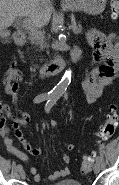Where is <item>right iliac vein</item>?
<instances>
[{"label":"right iliac vein","mask_w":119,"mask_h":185,"mask_svg":"<svg viewBox=\"0 0 119 185\" xmlns=\"http://www.w3.org/2000/svg\"><path fill=\"white\" fill-rule=\"evenodd\" d=\"M19 174H20V178H21V179H25L26 173H25V171H24L23 169H21V170L19 171Z\"/></svg>","instance_id":"63e3f726"}]
</instances>
